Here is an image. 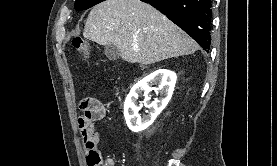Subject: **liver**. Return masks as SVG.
Listing matches in <instances>:
<instances>
[{
  "mask_svg": "<svg viewBox=\"0 0 277 166\" xmlns=\"http://www.w3.org/2000/svg\"><path fill=\"white\" fill-rule=\"evenodd\" d=\"M83 36L100 45L114 44L123 60L141 65L189 55L199 48L165 15L140 0H106L95 5Z\"/></svg>",
  "mask_w": 277,
  "mask_h": 166,
  "instance_id": "6515ba94",
  "label": "liver"
}]
</instances>
